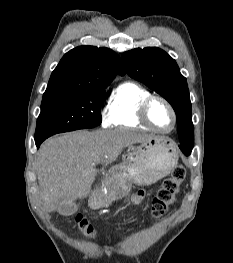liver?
<instances>
[{
  "instance_id": "obj_1",
  "label": "liver",
  "mask_w": 233,
  "mask_h": 263,
  "mask_svg": "<svg viewBox=\"0 0 233 263\" xmlns=\"http://www.w3.org/2000/svg\"><path fill=\"white\" fill-rule=\"evenodd\" d=\"M152 135L127 129L75 131L47 139L37 154L40 199L48 212L58 211L86 198L95 175V164H110L121 151Z\"/></svg>"
}]
</instances>
